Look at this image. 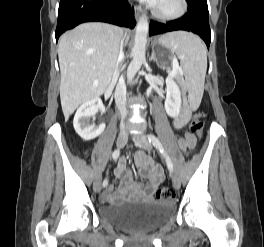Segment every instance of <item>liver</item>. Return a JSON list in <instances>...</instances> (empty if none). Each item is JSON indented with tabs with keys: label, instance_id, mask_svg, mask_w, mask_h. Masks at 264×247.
Masks as SVG:
<instances>
[{
	"label": "liver",
	"instance_id": "1",
	"mask_svg": "<svg viewBox=\"0 0 264 247\" xmlns=\"http://www.w3.org/2000/svg\"><path fill=\"white\" fill-rule=\"evenodd\" d=\"M123 36L119 27L92 22L80 24L60 37V99L65 121L79 105L105 92Z\"/></svg>",
	"mask_w": 264,
	"mask_h": 247
}]
</instances>
